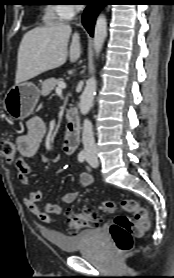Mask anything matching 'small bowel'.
I'll use <instances>...</instances> for the list:
<instances>
[{
    "label": "small bowel",
    "mask_w": 174,
    "mask_h": 278,
    "mask_svg": "<svg viewBox=\"0 0 174 278\" xmlns=\"http://www.w3.org/2000/svg\"><path fill=\"white\" fill-rule=\"evenodd\" d=\"M26 127V132L18 136L16 140L17 156L14 159L17 176L22 185H27L29 183L30 167L26 159L34 156L38 152L46 133L45 123L40 117H33L28 120ZM63 171V168H59L57 173L60 174ZM93 182L94 178L89 173H82L79 176L78 183L80 188L88 187L92 185ZM77 196V191L68 192L63 195L62 201L65 204H70ZM41 200L42 192L34 189L25 195L23 202L28 210L39 220L46 223L54 222L55 216L62 212L61 206L53 203H46L43 207H40L38 202Z\"/></svg>",
    "instance_id": "small-bowel-1"
}]
</instances>
